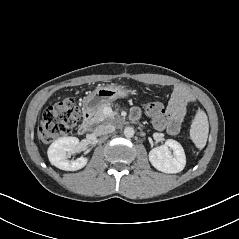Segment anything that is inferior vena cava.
<instances>
[{
  "instance_id": "obj_1",
  "label": "inferior vena cava",
  "mask_w": 239,
  "mask_h": 239,
  "mask_svg": "<svg viewBox=\"0 0 239 239\" xmlns=\"http://www.w3.org/2000/svg\"><path fill=\"white\" fill-rule=\"evenodd\" d=\"M114 131H115V126L111 124H102L96 128L97 135H106L109 133H113Z\"/></svg>"
}]
</instances>
